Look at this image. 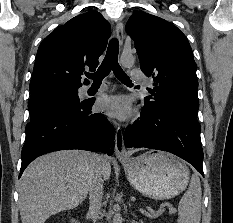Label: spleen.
<instances>
[{
  "label": "spleen",
  "instance_id": "obj_1",
  "mask_svg": "<svg viewBox=\"0 0 233 223\" xmlns=\"http://www.w3.org/2000/svg\"><path fill=\"white\" fill-rule=\"evenodd\" d=\"M201 197L200 179L197 173H193L190 185L179 201V223H200Z\"/></svg>",
  "mask_w": 233,
  "mask_h": 223
}]
</instances>
